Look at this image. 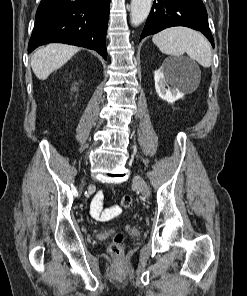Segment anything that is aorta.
<instances>
[{
    "instance_id": "1",
    "label": "aorta",
    "mask_w": 247,
    "mask_h": 296,
    "mask_svg": "<svg viewBox=\"0 0 247 296\" xmlns=\"http://www.w3.org/2000/svg\"><path fill=\"white\" fill-rule=\"evenodd\" d=\"M152 0H131V24L140 25L149 15Z\"/></svg>"
}]
</instances>
